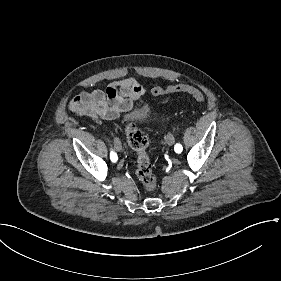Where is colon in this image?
<instances>
[{
    "label": "colon",
    "mask_w": 281,
    "mask_h": 281,
    "mask_svg": "<svg viewBox=\"0 0 281 281\" xmlns=\"http://www.w3.org/2000/svg\"><path fill=\"white\" fill-rule=\"evenodd\" d=\"M178 90L181 93H188L196 101L201 102L205 100V95L201 91L188 88L187 86H181L179 88L177 85H174L170 86L168 89L156 87L151 90V93L153 95H160L177 92ZM128 138L137 157L136 175L142 183L144 190L152 193L157 187V182L150 163V156L147 149V138L143 132L133 124L128 126Z\"/></svg>",
    "instance_id": "colon-1"
}]
</instances>
